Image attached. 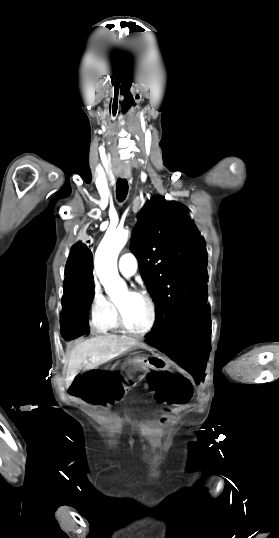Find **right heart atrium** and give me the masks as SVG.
I'll list each match as a JSON object with an SVG mask.
<instances>
[{
  "mask_svg": "<svg viewBox=\"0 0 279 538\" xmlns=\"http://www.w3.org/2000/svg\"><path fill=\"white\" fill-rule=\"evenodd\" d=\"M108 312L107 298L102 294V290L97 280L94 279L93 304H92V326L100 330Z\"/></svg>",
  "mask_w": 279,
  "mask_h": 538,
  "instance_id": "obj_1",
  "label": "right heart atrium"
}]
</instances>
